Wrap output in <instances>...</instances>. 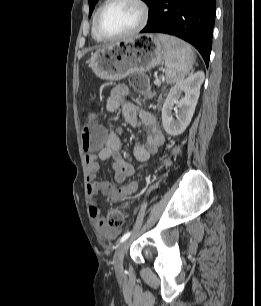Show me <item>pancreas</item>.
Masks as SVG:
<instances>
[{"instance_id":"obj_1","label":"pancreas","mask_w":261,"mask_h":306,"mask_svg":"<svg viewBox=\"0 0 261 306\" xmlns=\"http://www.w3.org/2000/svg\"><path fill=\"white\" fill-rule=\"evenodd\" d=\"M160 84H161V82H160V81H159L158 83L156 82V85H158V86H159Z\"/></svg>"}]
</instances>
